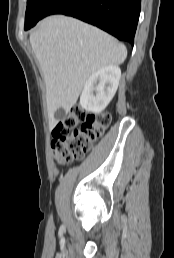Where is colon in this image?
Segmentation results:
<instances>
[{
    "label": "colon",
    "mask_w": 174,
    "mask_h": 258,
    "mask_svg": "<svg viewBox=\"0 0 174 258\" xmlns=\"http://www.w3.org/2000/svg\"><path fill=\"white\" fill-rule=\"evenodd\" d=\"M110 122L107 112L87 114L80 105H74L52 131L54 157L64 164L82 159Z\"/></svg>",
    "instance_id": "5ec220e1"
}]
</instances>
